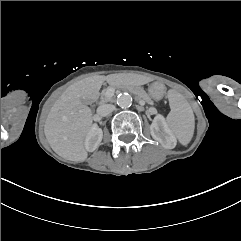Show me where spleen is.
Instances as JSON below:
<instances>
[{
	"label": "spleen",
	"instance_id": "spleen-1",
	"mask_svg": "<svg viewBox=\"0 0 241 241\" xmlns=\"http://www.w3.org/2000/svg\"><path fill=\"white\" fill-rule=\"evenodd\" d=\"M169 92L171 111L167 116V124L179 142L186 146L192 139L195 129L193 110L178 91Z\"/></svg>",
	"mask_w": 241,
	"mask_h": 241
}]
</instances>
